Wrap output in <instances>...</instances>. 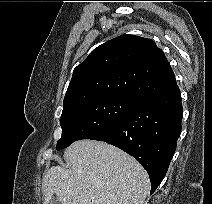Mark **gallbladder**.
Returning a JSON list of instances; mask_svg holds the SVG:
<instances>
[{
    "label": "gallbladder",
    "mask_w": 212,
    "mask_h": 204,
    "mask_svg": "<svg viewBox=\"0 0 212 204\" xmlns=\"http://www.w3.org/2000/svg\"><path fill=\"white\" fill-rule=\"evenodd\" d=\"M50 204H61L60 201L57 198H54Z\"/></svg>",
    "instance_id": "bac80fb5"
}]
</instances>
